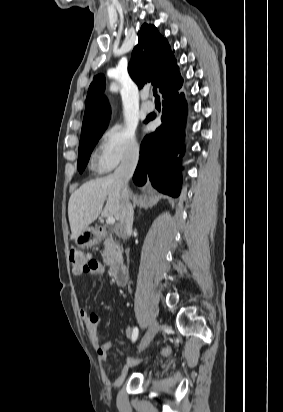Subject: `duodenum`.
Returning a JSON list of instances; mask_svg holds the SVG:
<instances>
[{"mask_svg":"<svg viewBox=\"0 0 283 412\" xmlns=\"http://www.w3.org/2000/svg\"><path fill=\"white\" fill-rule=\"evenodd\" d=\"M101 231H103L101 229ZM111 274L116 281V283L120 286H124L128 282V272L125 265L121 262H116L111 267Z\"/></svg>","mask_w":283,"mask_h":412,"instance_id":"obj_1","label":"duodenum"}]
</instances>
